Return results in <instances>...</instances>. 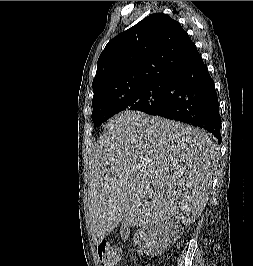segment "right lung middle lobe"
<instances>
[{
	"instance_id": "dd1d6c3e",
	"label": "right lung middle lobe",
	"mask_w": 253,
	"mask_h": 266,
	"mask_svg": "<svg viewBox=\"0 0 253 266\" xmlns=\"http://www.w3.org/2000/svg\"><path fill=\"white\" fill-rule=\"evenodd\" d=\"M166 81L152 82L93 105L92 121L101 125L120 111L137 110L153 114L161 109Z\"/></svg>"
}]
</instances>
